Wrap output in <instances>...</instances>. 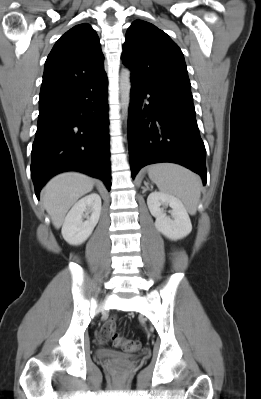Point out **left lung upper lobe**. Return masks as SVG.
<instances>
[{
	"label": "left lung upper lobe",
	"mask_w": 261,
	"mask_h": 399,
	"mask_svg": "<svg viewBox=\"0 0 261 399\" xmlns=\"http://www.w3.org/2000/svg\"><path fill=\"white\" fill-rule=\"evenodd\" d=\"M122 60L132 76L150 85L191 92L181 49L151 23L137 20L128 28Z\"/></svg>",
	"instance_id": "1"
}]
</instances>
